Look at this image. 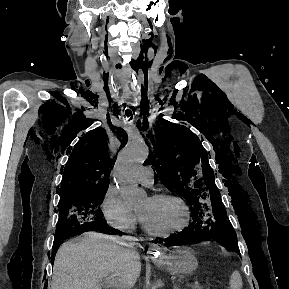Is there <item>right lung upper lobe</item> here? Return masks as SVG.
<instances>
[{
    "label": "right lung upper lobe",
    "mask_w": 289,
    "mask_h": 289,
    "mask_svg": "<svg viewBox=\"0 0 289 289\" xmlns=\"http://www.w3.org/2000/svg\"><path fill=\"white\" fill-rule=\"evenodd\" d=\"M107 152V134L96 128L86 134L73 149L60 188L61 197L108 189L111 171Z\"/></svg>",
    "instance_id": "right-lung-upper-lobe-1"
}]
</instances>
